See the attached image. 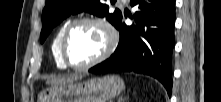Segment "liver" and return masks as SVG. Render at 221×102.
<instances>
[{
	"label": "liver",
	"instance_id": "liver-1",
	"mask_svg": "<svg viewBox=\"0 0 221 102\" xmlns=\"http://www.w3.org/2000/svg\"><path fill=\"white\" fill-rule=\"evenodd\" d=\"M69 81H70L69 79H55V80L49 81L48 83L58 85V84L66 83V82H69Z\"/></svg>",
	"mask_w": 221,
	"mask_h": 102
}]
</instances>
